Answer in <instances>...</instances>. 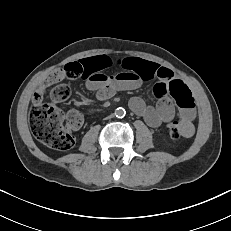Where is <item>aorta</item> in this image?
Segmentation results:
<instances>
[{
    "label": "aorta",
    "mask_w": 231,
    "mask_h": 231,
    "mask_svg": "<svg viewBox=\"0 0 231 231\" xmlns=\"http://www.w3.org/2000/svg\"><path fill=\"white\" fill-rule=\"evenodd\" d=\"M125 110L121 107L117 108L116 111H115V115L117 117H123L125 115Z\"/></svg>",
    "instance_id": "obj_1"
}]
</instances>
